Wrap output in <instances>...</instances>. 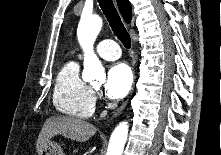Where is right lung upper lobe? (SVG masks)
<instances>
[{"mask_svg":"<svg viewBox=\"0 0 221 155\" xmlns=\"http://www.w3.org/2000/svg\"><path fill=\"white\" fill-rule=\"evenodd\" d=\"M118 7L123 15V18L126 22H130L131 20V4L128 0H117Z\"/></svg>","mask_w":221,"mask_h":155,"instance_id":"obj_1","label":"right lung upper lobe"}]
</instances>
